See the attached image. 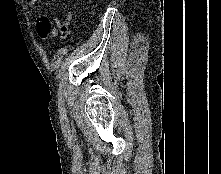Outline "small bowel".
<instances>
[{
  "instance_id": "c3829d8e",
  "label": "small bowel",
  "mask_w": 221,
  "mask_h": 174,
  "mask_svg": "<svg viewBox=\"0 0 221 174\" xmlns=\"http://www.w3.org/2000/svg\"><path fill=\"white\" fill-rule=\"evenodd\" d=\"M39 0H29L28 7L31 10H36ZM71 14L67 13L63 20L55 19V26L45 17L40 16L37 19V32L41 38L48 36L57 37L60 34L61 38H66L69 34V25Z\"/></svg>"
}]
</instances>
